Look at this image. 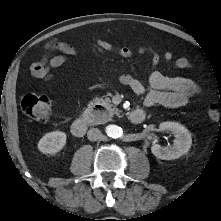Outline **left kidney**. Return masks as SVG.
<instances>
[{"instance_id": "left-kidney-1", "label": "left kidney", "mask_w": 221, "mask_h": 221, "mask_svg": "<svg viewBox=\"0 0 221 221\" xmlns=\"http://www.w3.org/2000/svg\"><path fill=\"white\" fill-rule=\"evenodd\" d=\"M159 130L170 131L174 136V142L171 147H162L159 144H154L151 151L154 156L162 160H173L187 154L192 145L190 132L177 122H162L159 125Z\"/></svg>"}]
</instances>
